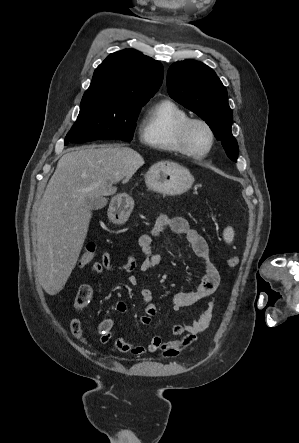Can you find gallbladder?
<instances>
[{
    "label": "gallbladder",
    "mask_w": 299,
    "mask_h": 443,
    "mask_svg": "<svg viewBox=\"0 0 299 443\" xmlns=\"http://www.w3.org/2000/svg\"><path fill=\"white\" fill-rule=\"evenodd\" d=\"M107 204V200L104 197H86L84 206L90 210L102 209Z\"/></svg>",
    "instance_id": "bac80fb5"
}]
</instances>
